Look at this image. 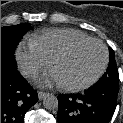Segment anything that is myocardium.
Here are the masks:
<instances>
[{"instance_id":"obj_1","label":"myocardium","mask_w":123,"mask_h":123,"mask_svg":"<svg viewBox=\"0 0 123 123\" xmlns=\"http://www.w3.org/2000/svg\"><path fill=\"white\" fill-rule=\"evenodd\" d=\"M89 43L99 44L103 49L104 58H103V62H102L100 69L90 80H88L85 83L78 84V85L61 84V88H63L64 90L70 91V92H78V91L86 90V89L90 88L91 86H93L105 73L107 66H108V63H109L108 48L102 41L95 39V38L76 41V42L70 44L69 46H67L66 48H64L63 50H61L59 53H57L52 58L51 68L53 69L57 62L68 57L69 55H71L79 47H81L85 44H89Z\"/></svg>"}]
</instances>
